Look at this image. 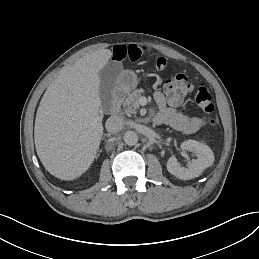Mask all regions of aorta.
<instances>
[{
  "instance_id": "762f6f07",
  "label": "aorta",
  "mask_w": 259,
  "mask_h": 259,
  "mask_svg": "<svg viewBox=\"0 0 259 259\" xmlns=\"http://www.w3.org/2000/svg\"><path fill=\"white\" fill-rule=\"evenodd\" d=\"M123 139L127 145L133 146L138 142V135L136 132L129 130L125 132Z\"/></svg>"
}]
</instances>
